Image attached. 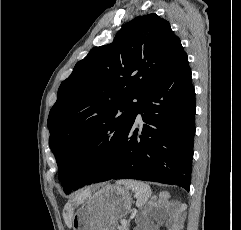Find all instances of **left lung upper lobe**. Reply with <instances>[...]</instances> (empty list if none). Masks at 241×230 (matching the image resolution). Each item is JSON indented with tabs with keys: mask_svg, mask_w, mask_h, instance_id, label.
<instances>
[{
	"mask_svg": "<svg viewBox=\"0 0 241 230\" xmlns=\"http://www.w3.org/2000/svg\"><path fill=\"white\" fill-rule=\"evenodd\" d=\"M183 53L169 22L153 13L128 22L111 44L93 48L77 62L47 121L66 193L73 188L77 160L97 141L116 142L124 134L146 92Z\"/></svg>",
	"mask_w": 241,
	"mask_h": 230,
	"instance_id": "1",
	"label": "left lung upper lobe"
}]
</instances>
